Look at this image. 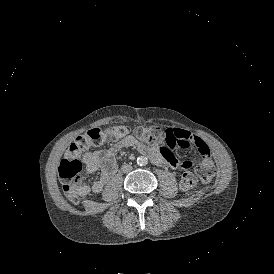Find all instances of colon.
Returning <instances> with one entry per match:
<instances>
[{
	"mask_svg": "<svg viewBox=\"0 0 274 274\" xmlns=\"http://www.w3.org/2000/svg\"><path fill=\"white\" fill-rule=\"evenodd\" d=\"M126 133L125 126L108 128L103 131L109 142L121 141ZM134 134L138 139L148 143H165L167 140L166 128L158 126L136 127ZM99 148L100 134H81L68 146L65 156L58 165V172L62 180L63 192L69 201H78L84 181L83 165L79 159L80 149ZM198 182L199 180L193 174H183L182 176V185L188 191L194 190Z\"/></svg>",
	"mask_w": 274,
	"mask_h": 274,
	"instance_id": "obj_1",
	"label": "colon"
}]
</instances>
